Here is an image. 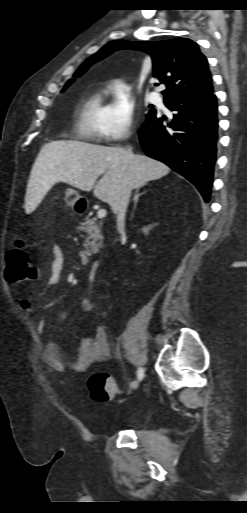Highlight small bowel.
Returning <instances> with one entry per match:
<instances>
[{
	"label": "small bowel",
	"instance_id": "obj_1",
	"mask_svg": "<svg viewBox=\"0 0 247 513\" xmlns=\"http://www.w3.org/2000/svg\"><path fill=\"white\" fill-rule=\"evenodd\" d=\"M64 268V252L59 245L52 248V262L47 277L45 288L47 290L61 283ZM21 306L26 311H31L29 301H21ZM94 303L90 298H84L80 304L82 312L93 309ZM37 331L40 336H45L48 331L46 320H39ZM111 356V348L107 332L99 325L94 332H87L82 336L79 348L71 360H67L62 350L53 342L44 343L40 357L42 362L51 370L57 372L72 371L75 373L86 372L94 363L107 361Z\"/></svg>",
	"mask_w": 247,
	"mask_h": 513
}]
</instances>
